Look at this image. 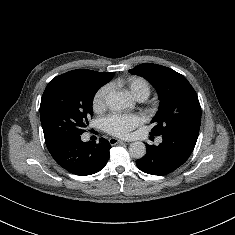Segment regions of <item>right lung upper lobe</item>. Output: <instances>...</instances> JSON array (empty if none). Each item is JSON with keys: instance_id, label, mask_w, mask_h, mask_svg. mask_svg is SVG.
<instances>
[{"instance_id": "1", "label": "right lung upper lobe", "mask_w": 235, "mask_h": 235, "mask_svg": "<svg viewBox=\"0 0 235 235\" xmlns=\"http://www.w3.org/2000/svg\"><path fill=\"white\" fill-rule=\"evenodd\" d=\"M65 74H87L95 78H98L106 83L113 77L114 73H102V72L100 73L92 70L79 69L67 72Z\"/></svg>"}]
</instances>
